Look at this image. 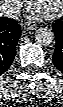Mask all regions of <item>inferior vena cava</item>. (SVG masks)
Returning a JSON list of instances; mask_svg holds the SVG:
<instances>
[{
    "label": "inferior vena cava",
    "instance_id": "inferior-vena-cava-1",
    "mask_svg": "<svg viewBox=\"0 0 63 107\" xmlns=\"http://www.w3.org/2000/svg\"><path fill=\"white\" fill-rule=\"evenodd\" d=\"M21 7V3L17 0L2 1L0 10L1 15L11 19H18Z\"/></svg>",
    "mask_w": 63,
    "mask_h": 107
}]
</instances>
